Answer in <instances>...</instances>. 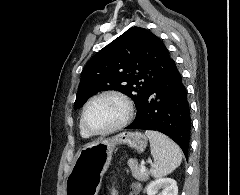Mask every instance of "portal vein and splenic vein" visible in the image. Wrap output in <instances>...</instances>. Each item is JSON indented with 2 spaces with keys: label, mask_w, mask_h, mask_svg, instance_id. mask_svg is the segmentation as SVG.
<instances>
[{
  "label": "portal vein and splenic vein",
  "mask_w": 240,
  "mask_h": 195,
  "mask_svg": "<svg viewBox=\"0 0 240 195\" xmlns=\"http://www.w3.org/2000/svg\"><path fill=\"white\" fill-rule=\"evenodd\" d=\"M140 169L141 171H145V163L143 161H141Z\"/></svg>",
  "instance_id": "1"
}]
</instances>
